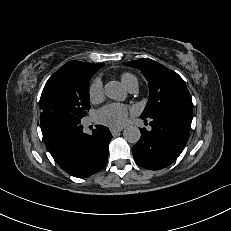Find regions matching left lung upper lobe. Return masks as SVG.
Segmentation results:
<instances>
[{
  "label": "left lung upper lobe",
  "mask_w": 231,
  "mask_h": 231,
  "mask_svg": "<svg viewBox=\"0 0 231 231\" xmlns=\"http://www.w3.org/2000/svg\"><path fill=\"white\" fill-rule=\"evenodd\" d=\"M125 65L142 71L149 85V100L141 118H149L168 108L191 110L190 93L184 80L174 71L151 59L124 62Z\"/></svg>",
  "instance_id": "obj_1"
}]
</instances>
